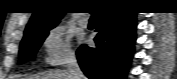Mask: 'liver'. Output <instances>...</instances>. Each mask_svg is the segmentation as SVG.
Wrapping results in <instances>:
<instances>
[{"mask_svg":"<svg viewBox=\"0 0 177 79\" xmlns=\"http://www.w3.org/2000/svg\"><path fill=\"white\" fill-rule=\"evenodd\" d=\"M21 79H69L67 70H50L41 74L25 76Z\"/></svg>","mask_w":177,"mask_h":79,"instance_id":"liver-1","label":"liver"}]
</instances>
